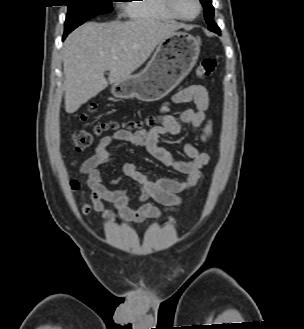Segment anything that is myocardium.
<instances>
[{"mask_svg": "<svg viewBox=\"0 0 304 329\" xmlns=\"http://www.w3.org/2000/svg\"><path fill=\"white\" fill-rule=\"evenodd\" d=\"M163 1H164L165 7L168 10V12L176 19L191 21V20L196 19L202 11V3H201L200 0H195L196 3H197L198 9H197L196 14L194 16H191V17H187V16H184V15L180 14L178 12V10L176 9V7H175V1L174 0H163Z\"/></svg>", "mask_w": 304, "mask_h": 329, "instance_id": "myocardium-1", "label": "myocardium"}]
</instances>
